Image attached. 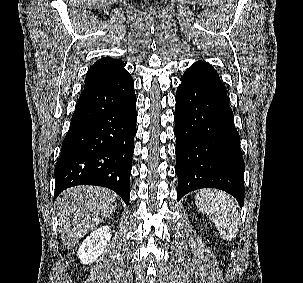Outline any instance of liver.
Instances as JSON below:
<instances>
[{"label": "liver", "instance_id": "liver-1", "mask_svg": "<svg viewBox=\"0 0 303 283\" xmlns=\"http://www.w3.org/2000/svg\"><path fill=\"white\" fill-rule=\"evenodd\" d=\"M58 228L66 249L73 248L88 232L116 210V194L106 188L77 186L57 198Z\"/></svg>", "mask_w": 303, "mask_h": 283}]
</instances>
